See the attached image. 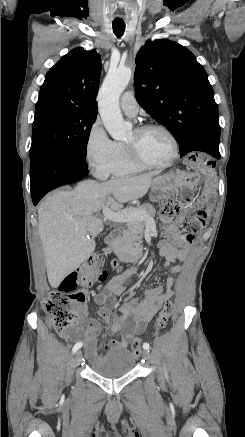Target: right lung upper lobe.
<instances>
[{"instance_id": "cb5924a9", "label": "right lung upper lobe", "mask_w": 245, "mask_h": 437, "mask_svg": "<svg viewBox=\"0 0 245 437\" xmlns=\"http://www.w3.org/2000/svg\"><path fill=\"white\" fill-rule=\"evenodd\" d=\"M100 70L101 57L95 49L71 50L47 72L36 107L57 104L97 113Z\"/></svg>"}]
</instances>
